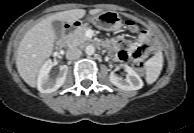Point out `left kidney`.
I'll use <instances>...</instances> for the list:
<instances>
[{
    "mask_svg": "<svg viewBox=\"0 0 194 133\" xmlns=\"http://www.w3.org/2000/svg\"><path fill=\"white\" fill-rule=\"evenodd\" d=\"M121 66L127 73L126 78L123 79L112 71L109 76L110 82L122 90L133 91L141 89L143 87V81L135 70L125 64Z\"/></svg>",
    "mask_w": 194,
    "mask_h": 133,
    "instance_id": "obj_1",
    "label": "left kidney"
}]
</instances>
